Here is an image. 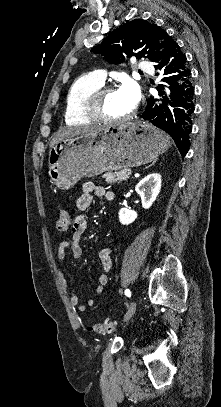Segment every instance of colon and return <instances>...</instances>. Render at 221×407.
Masks as SVG:
<instances>
[{
    "mask_svg": "<svg viewBox=\"0 0 221 407\" xmlns=\"http://www.w3.org/2000/svg\"><path fill=\"white\" fill-rule=\"evenodd\" d=\"M71 224L70 213L62 209L59 211L57 216V230L60 232H65ZM117 322L115 320H106L102 323H96L92 325L89 330L98 334H110L115 331Z\"/></svg>",
    "mask_w": 221,
    "mask_h": 407,
    "instance_id": "5ec220e1",
    "label": "colon"
}]
</instances>
